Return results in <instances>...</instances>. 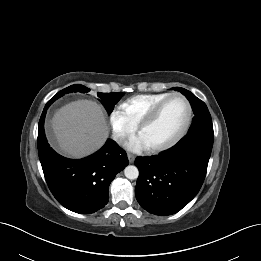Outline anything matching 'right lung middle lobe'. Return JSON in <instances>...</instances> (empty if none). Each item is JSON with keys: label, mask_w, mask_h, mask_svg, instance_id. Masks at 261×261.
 Here are the masks:
<instances>
[{"label": "right lung middle lobe", "mask_w": 261, "mask_h": 261, "mask_svg": "<svg viewBox=\"0 0 261 261\" xmlns=\"http://www.w3.org/2000/svg\"><path fill=\"white\" fill-rule=\"evenodd\" d=\"M89 89L83 85H71L63 91H59L53 98L52 100H56L59 97L63 96L65 93H70V92H83L87 93ZM99 98L101 99L102 104L106 108L108 114H110L113 109L114 105L117 104V102L121 99L123 96V93H98Z\"/></svg>", "instance_id": "obj_1"}]
</instances>
